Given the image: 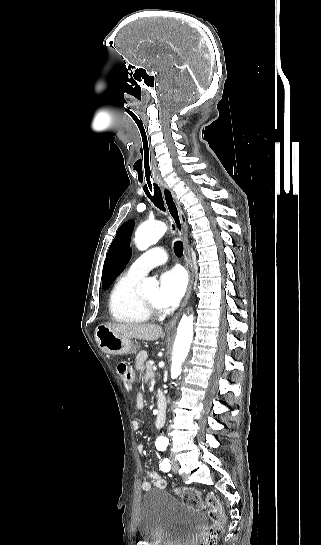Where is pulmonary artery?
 <instances>
[{
  "label": "pulmonary artery",
  "instance_id": "e3ab8cb5",
  "mask_svg": "<svg viewBox=\"0 0 321 545\" xmlns=\"http://www.w3.org/2000/svg\"><path fill=\"white\" fill-rule=\"evenodd\" d=\"M166 261L167 252L165 250L150 248L149 250L140 254L134 259V261L129 266L128 271L134 276L142 278L151 268L163 264Z\"/></svg>",
  "mask_w": 321,
  "mask_h": 545
}]
</instances>
